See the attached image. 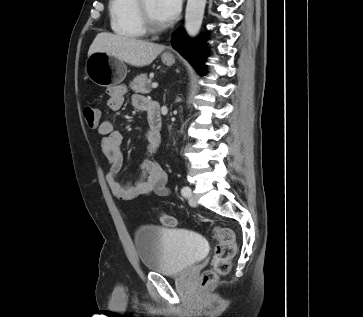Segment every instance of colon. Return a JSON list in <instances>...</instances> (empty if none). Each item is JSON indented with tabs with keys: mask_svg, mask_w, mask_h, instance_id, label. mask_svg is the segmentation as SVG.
<instances>
[{
	"mask_svg": "<svg viewBox=\"0 0 363 317\" xmlns=\"http://www.w3.org/2000/svg\"><path fill=\"white\" fill-rule=\"evenodd\" d=\"M83 117L86 124L92 129L98 128L101 123L100 111L92 105L84 106ZM160 220L162 224L167 227H174L176 225V219L167 214H161ZM213 236L216 241V245L213 254L212 268L202 273V288H207L214 284L218 280L219 276L228 273L236 254L237 246L232 229L222 226L216 227L214 229Z\"/></svg>",
	"mask_w": 363,
	"mask_h": 317,
	"instance_id": "colon-1",
	"label": "colon"
}]
</instances>
